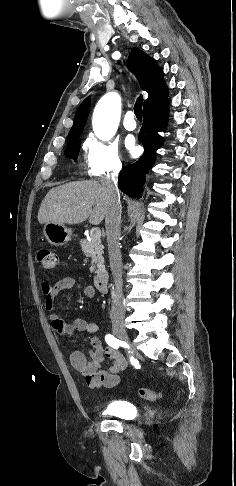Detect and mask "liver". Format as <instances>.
<instances>
[{"instance_id": "6515ba94", "label": "liver", "mask_w": 236, "mask_h": 486, "mask_svg": "<svg viewBox=\"0 0 236 486\" xmlns=\"http://www.w3.org/2000/svg\"><path fill=\"white\" fill-rule=\"evenodd\" d=\"M107 209L108 195L99 182H70L49 190L40 205L38 221L75 225L88 219L89 223L98 225Z\"/></svg>"}]
</instances>
